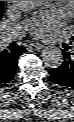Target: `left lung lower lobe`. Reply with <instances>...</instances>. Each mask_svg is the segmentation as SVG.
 <instances>
[{
	"instance_id": "left-lung-lower-lobe-1",
	"label": "left lung lower lobe",
	"mask_w": 74,
	"mask_h": 122,
	"mask_svg": "<svg viewBox=\"0 0 74 122\" xmlns=\"http://www.w3.org/2000/svg\"><path fill=\"white\" fill-rule=\"evenodd\" d=\"M64 62L57 68L49 71L51 79L60 86L74 89V47L64 44Z\"/></svg>"
}]
</instances>
